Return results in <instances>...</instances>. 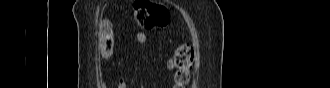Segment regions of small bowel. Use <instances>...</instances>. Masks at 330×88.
<instances>
[{
    "instance_id": "small-bowel-1",
    "label": "small bowel",
    "mask_w": 330,
    "mask_h": 88,
    "mask_svg": "<svg viewBox=\"0 0 330 88\" xmlns=\"http://www.w3.org/2000/svg\"><path fill=\"white\" fill-rule=\"evenodd\" d=\"M107 25H109V23H104L103 28L106 27ZM147 39H148V36L145 32H139L135 36V43L137 45H143L147 41ZM117 87L126 88V84L123 81H120Z\"/></svg>"
}]
</instances>
